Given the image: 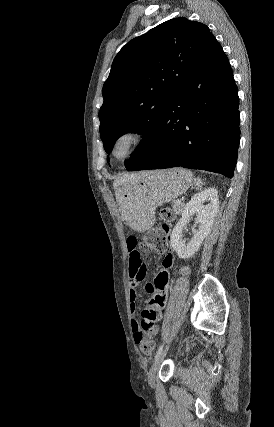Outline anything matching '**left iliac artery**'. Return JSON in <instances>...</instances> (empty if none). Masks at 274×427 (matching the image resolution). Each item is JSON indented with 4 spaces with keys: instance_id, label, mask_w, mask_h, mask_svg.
Instances as JSON below:
<instances>
[{
    "instance_id": "1",
    "label": "left iliac artery",
    "mask_w": 274,
    "mask_h": 427,
    "mask_svg": "<svg viewBox=\"0 0 274 427\" xmlns=\"http://www.w3.org/2000/svg\"><path fill=\"white\" fill-rule=\"evenodd\" d=\"M162 350H163V344H161L159 346V348L157 349L156 354H155V359H157L159 357V355L161 354Z\"/></svg>"
}]
</instances>
